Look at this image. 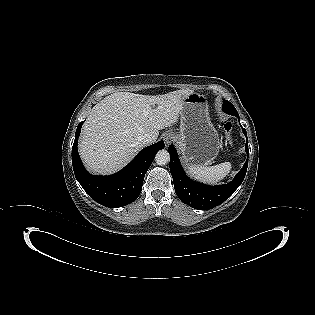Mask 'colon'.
<instances>
[{"label":"colon","instance_id":"colon-1","mask_svg":"<svg viewBox=\"0 0 315 315\" xmlns=\"http://www.w3.org/2000/svg\"><path fill=\"white\" fill-rule=\"evenodd\" d=\"M222 127H223V131L225 133L227 140L231 142V140H232V138H231L232 137V128H233L232 123L227 121L223 124Z\"/></svg>","mask_w":315,"mask_h":315}]
</instances>
